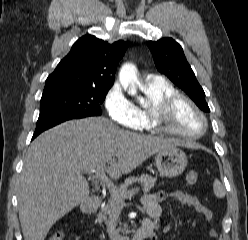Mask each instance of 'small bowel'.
Instances as JSON below:
<instances>
[{
	"label": "small bowel",
	"mask_w": 248,
	"mask_h": 240,
	"mask_svg": "<svg viewBox=\"0 0 248 240\" xmlns=\"http://www.w3.org/2000/svg\"><path fill=\"white\" fill-rule=\"evenodd\" d=\"M171 199L181 203L183 206L192 207L198 214H200L205 220L210 221L213 219V212L204 206L195 196L188 194L183 191H160L156 194H144L141 197V203L145 208L148 218L145 221H148L152 224L153 229L150 235V240H157L158 235L156 230L160 226V218L162 215L161 203ZM169 226L164 228V231L169 230ZM212 237H217V234L214 230L209 231Z\"/></svg>",
	"instance_id": "small-bowel-1"
}]
</instances>
